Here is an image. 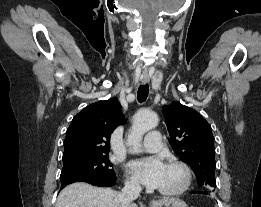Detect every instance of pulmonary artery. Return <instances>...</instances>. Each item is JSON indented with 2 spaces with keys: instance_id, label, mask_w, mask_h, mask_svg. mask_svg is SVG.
<instances>
[{
  "instance_id": "e3ab8cb5",
  "label": "pulmonary artery",
  "mask_w": 261,
  "mask_h": 207,
  "mask_svg": "<svg viewBox=\"0 0 261 207\" xmlns=\"http://www.w3.org/2000/svg\"><path fill=\"white\" fill-rule=\"evenodd\" d=\"M161 147V135L158 131L154 130L149 132L142 145L135 149L134 152H139V151H145V152H157L160 150Z\"/></svg>"
}]
</instances>
